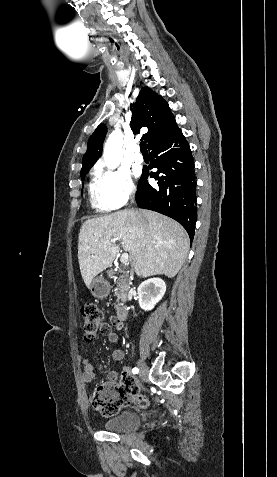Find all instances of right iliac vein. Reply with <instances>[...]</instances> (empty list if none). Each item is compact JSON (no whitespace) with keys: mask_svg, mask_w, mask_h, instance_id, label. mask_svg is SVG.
I'll list each match as a JSON object with an SVG mask.
<instances>
[{"mask_svg":"<svg viewBox=\"0 0 277 477\" xmlns=\"http://www.w3.org/2000/svg\"><path fill=\"white\" fill-rule=\"evenodd\" d=\"M138 367H139V377L142 381H145L147 374H148V368L145 364L144 361L139 360L138 362Z\"/></svg>","mask_w":277,"mask_h":477,"instance_id":"63e3f726","label":"right iliac vein"}]
</instances>
